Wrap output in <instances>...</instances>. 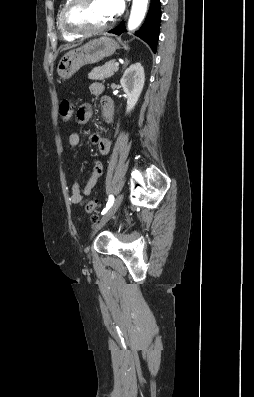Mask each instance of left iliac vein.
I'll use <instances>...</instances> for the list:
<instances>
[{
    "mask_svg": "<svg viewBox=\"0 0 254 397\" xmlns=\"http://www.w3.org/2000/svg\"><path fill=\"white\" fill-rule=\"evenodd\" d=\"M123 201V194H119L112 206L108 209L106 214L101 218V220L94 225L92 236L115 214L119 206Z\"/></svg>",
    "mask_w": 254,
    "mask_h": 397,
    "instance_id": "obj_1",
    "label": "left iliac vein"
}]
</instances>
